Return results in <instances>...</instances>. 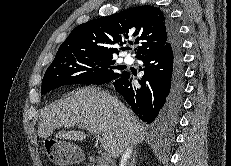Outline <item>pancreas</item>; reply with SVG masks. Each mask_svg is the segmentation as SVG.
I'll return each instance as SVG.
<instances>
[{
    "mask_svg": "<svg viewBox=\"0 0 231 166\" xmlns=\"http://www.w3.org/2000/svg\"><path fill=\"white\" fill-rule=\"evenodd\" d=\"M87 166H107L106 164H104L102 161H101V158H98L95 163L93 164H89Z\"/></svg>",
    "mask_w": 231,
    "mask_h": 166,
    "instance_id": "cf45deb5",
    "label": "pancreas"
}]
</instances>
